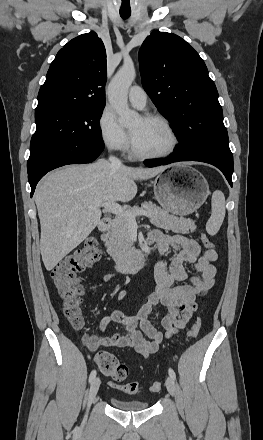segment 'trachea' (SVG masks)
Returning a JSON list of instances; mask_svg holds the SVG:
<instances>
[{
	"label": "trachea",
	"mask_w": 263,
	"mask_h": 440,
	"mask_svg": "<svg viewBox=\"0 0 263 440\" xmlns=\"http://www.w3.org/2000/svg\"><path fill=\"white\" fill-rule=\"evenodd\" d=\"M130 15H131V12H130V11H129V12H122V11H120V16H121L123 19H127V18H129Z\"/></svg>",
	"instance_id": "obj_1"
}]
</instances>
